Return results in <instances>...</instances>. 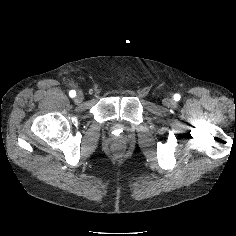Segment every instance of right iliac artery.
I'll list each match as a JSON object with an SVG mask.
<instances>
[{
  "instance_id": "82829eb1",
  "label": "right iliac artery",
  "mask_w": 236,
  "mask_h": 236,
  "mask_svg": "<svg viewBox=\"0 0 236 236\" xmlns=\"http://www.w3.org/2000/svg\"><path fill=\"white\" fill-rule=\"evenodd\" d=\"M69 95H70V97H75L76 96V92L74 91V90H71L70 92H69Z\"/></svg>"
}]
</instances>
